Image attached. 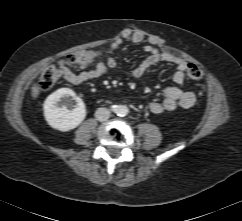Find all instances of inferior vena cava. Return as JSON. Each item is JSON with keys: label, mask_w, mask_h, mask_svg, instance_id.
Returning <instances> with one entry per match:
<instances>
[{"label": "inferior vena cava", "mask_w": 242, "mask_h": 221, "mask_svg": "<svg viewBox=\"0 0 242 221\" xmlns=\"http://www.w3.org/2000/svg\"><path fill=\"white\" fill-rule=\"evenodd\" d=\"M95 117L98 121H107L110 117V110L107 108H98L95 112Z\"/></svg>", "instance_id": "obj_1"}]
</instances>
